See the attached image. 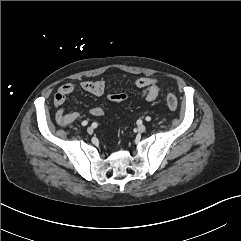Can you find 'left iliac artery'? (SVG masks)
<instances>
[{
    "label": "left iliac artery",
    "instance_id": "1",
    "mask_svg": "<svg viewBox=\"0 0 241 241\" xmlns=\"http://www.w3.org/2000/svg\"><path fill=\"white\" fill-rule=\"evenodd\" d=\"M145 120H146V121H151V117L147 116V117L145 118Z\"/></svg>",
    "mask_w": 241,
    "mask_h": 241
}]
</instances>
